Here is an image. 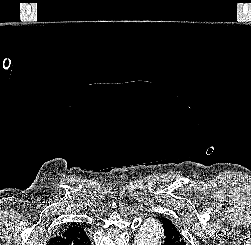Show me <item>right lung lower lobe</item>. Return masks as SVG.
Masks as SVG:
<instances>
[{"label": "right lung lower lobe", "mask_w": 251, "mask_h": 245, "mask_svg": "<svg viewBox=\"0 0 251 245\" xmlns=\"http://www.w3.org/2000/svg\"><path fill=\"white\" fill-rule=\"evenodd\" d=\"M47 245H91V243L83 228L72 230L66 227L57 232Z\"/></svg>", "instance_id": "obj_1"}]
</instances>
